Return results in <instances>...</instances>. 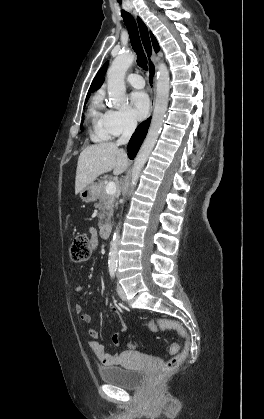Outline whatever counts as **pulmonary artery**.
<instances>
[{"label": "pulmonary artery", "mask_w": 264, "mask_h": 419, "mask_svg": "<svg viewBox=\"0 0 264 419\" xmlns=\"http://www.w3.org/2000/svg\"><path fill=\"white\" fill-rule=\"evenodd\" d=\"M127 81L130 85L137 89H141L145 85L143 77L139 74H129L127 76Z\"/></svg>", "instance_id": "1"}]
</instances>
